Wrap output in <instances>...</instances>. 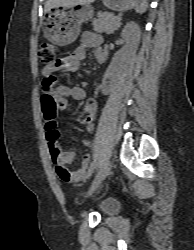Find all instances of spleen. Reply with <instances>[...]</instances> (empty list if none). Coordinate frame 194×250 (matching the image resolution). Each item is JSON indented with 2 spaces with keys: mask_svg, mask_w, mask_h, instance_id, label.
I'll list each match as a JSON object with an SVG mask.
<instances>
[{
  "mask_svg": "<svg viewBox=\"0 0 194 250\" xmlns=\"http://www.w3.org/2000/svg\"><path fill=\"white\" fill-rule=\"evenodd\" d=\"M147 7H148L147 1L146 0H142L141 3H140V5L137 6L135 10H136L137 13L141 14V13H144L147 10Z\"/></svg>",
  "mask_w": 194,
  "mask_h": 250,
  "instance_id": "1",
  "label": "spleen"
}]
</instances>
